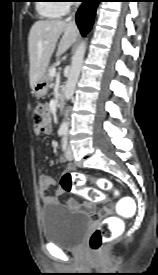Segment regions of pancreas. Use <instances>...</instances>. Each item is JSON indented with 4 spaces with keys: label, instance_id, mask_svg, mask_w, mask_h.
<instances>
[{
    "label": "pancreas",
    "instance_id": "obj_1",
    "mask_svg": "<svg viewBox=\"0 0 158 275\" xmlns=\"http://www.w3.org/2000/svg\"><path fill=\"white\" fill-rule=\"evenodd\" d=\"M53 68H54V65L51 66V67H49V68L47 69V72H46L49 82L52 81V79H53L52 76L50 75V71H51V69H53Z\"/></svg>",
    "mask_w": 158,
    "mask_h": 275
}]
</instances>
